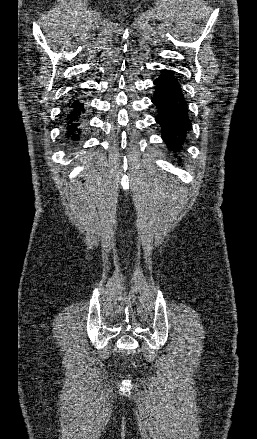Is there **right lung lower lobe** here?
I'll list each match as a JSON object with an SVG mask.
<instances>
[{
    "instance_id": "obj_1",
    "label": "right lung lower lobe",
    "mask_w": 257,
    "mask_h": 439,
    "mask_svg": "<svg viewBox=\"0 0 257 439\" xmlns=\"http://www.w3.org/2000/svg\"><path fill=\"white\" fill-rule=\"evenodd\" d=\"M84 112V107L81 102L78 100L73 101L72 104L69 106L68 114H67V136H71L73 140L78 139L79 132L78 126L80 125L79 116L80 114Z\"/></svg>"
}]
</instances>
